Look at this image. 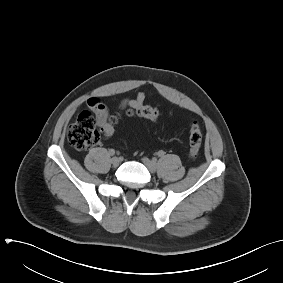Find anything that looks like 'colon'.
I'll return each instance as SVG.
<instances>
[{"mask_svg": "<svg viewBox=\"0 0 283 283\" xmlns=\"http://www.w3.org/2000/svg\"><path fill=\"white\" fill-rule=\"evenodd\" d=\"M126 114L128 116L137 115L152 121H156L159 117V113L155 108L144 105L136 108H129L126 111ZM117 121L118 118L112 116L99 130L93 115L89 111H82L68 128V141L75 149H89L97 144L101 133L105 138L112 137L115 132ZM201 145L202 131L200 125L197 122H193L189 131L190 158L196 159L199 156Z\"/></svg>", "mask_w": 283, "mask_h": 283, "instance_id": "5ec220e1", "label": "colon"}]
</instances>
